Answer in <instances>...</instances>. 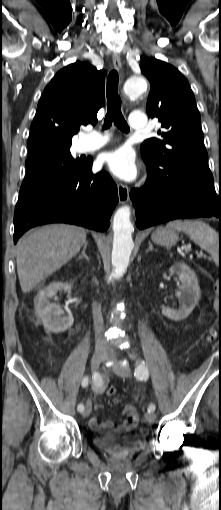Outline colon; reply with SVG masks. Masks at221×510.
I'll use <instances>...</instances> for the list:
<instances>
[{
  "instance_id": "5ec220e1",
  "label": "colon",
  "mask_w": 221,
  "mask_h": 510,
  "mask_svg": "<svg viewBox=\"0 0 221 510\" xmlns=\"http://www.w3.org/2000/svg\"><path fill=\"white\" fill-rule=\"evenodd\" d=\"M218 336H221V326L218 327V328L211 327L206 332L205 340H206V342H212ZM115 393H116V388L111 386L108 389V394L110 396H113V395H115ZM115 402L118 403L119 400L116 399ZM137 421H138V413H137V411H132L131 413H129V415L127 417V422L129 424H134L135 425Z\"/></svg>"
}]
</instances>
